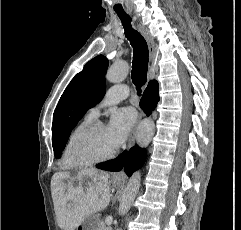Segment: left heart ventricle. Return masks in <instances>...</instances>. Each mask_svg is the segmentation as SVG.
Instances as JSON below:
<instances>
[{
  "mask_svg": "<svg viewBox=\"0 0 241 230\" xmlns=\"http://www.w3.org/2000/svg\"><path fill=\"white\" fill-rule=\"evenodd\" d=\"M113 150L107 138L106 127H99L90 139L88 146L89 153L93 156H102Z\"/></svg>",
  "mask_w": 241,
  "mask_h": 230,
  "instance_id": "left-heart-ventricle-1",
  "label": "left heart ventricle"
}]
</instances>
